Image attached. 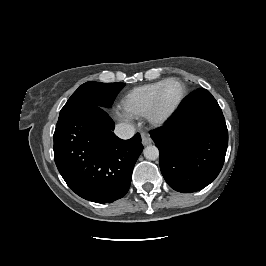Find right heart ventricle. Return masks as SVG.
Wrapping results in <instances>:
<instances>
[{
	"label": "right heart ventricle",
	"instance_id": "right-heart-ventricle-1",
	"mask_svg": "<svg viewBox=\"0 0 266 266\" xmlns=\"http://www.w3.org/2000/svg\"><path fill=\"white\" fill-rule=\"evenodd\" d=\"M165 80L132 89L122 100V107L129 115L146 116L153 97Z\"/></svg>",
	"mask_w": 266,
	"mask_h": 266
}]
</instances>
